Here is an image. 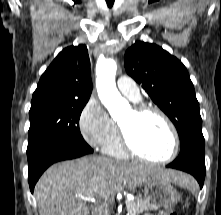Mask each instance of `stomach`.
I'll list each match as a JSON object with an SVG mask.
<instances>
[{"label":"stomach","instance_id":"obj_1","mask_svg":"<svg viewBox=\"0 0 221 215\" xmlns=\"http://www.w3.org/2000/svg\"><path fill=\"white\" fill-rule=\"evenodd\" d=\"M144 198L156 208H169L177 204L180 195L170 182L151 178L143 183Z\"/></svg>","mask_w":221,"mask_h":215}]
</instances>
